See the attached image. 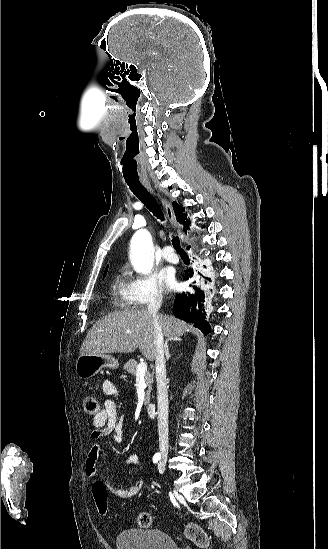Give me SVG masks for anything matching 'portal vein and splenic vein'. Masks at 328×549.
Masks as SVG:
<instances>
[{
    "label": "portal vein and splenic vein",
    "mask_w": 328,
    "mask_h": 549,
    "mask_svg": "<svg viewBox=\"0 0 328 549\" xmlns=\"http://www.w3.org/2000/svg\"><path fill=\"white\" fill-rule=\"evenodd\" d=\"M130 333V331H128ZM147 371V363H139L137 367V373H145Z\"/></svg>",
    "instance_id": "portal-vein-and-splenic-vein-1"
}]
</instances>
